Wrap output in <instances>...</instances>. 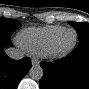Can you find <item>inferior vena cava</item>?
<instances>
[{
    "label": "inferior vena cava",
    "instance_id": "inferior-vena-cava-1",
    "mask_svg": "<svg viewBox=\"0 0 89 89\" xmlns=\"http://www.w3.org/2000/svg\"><path fill=\"white\" fill-rule=\"evenodd\" d=\"M6 54L15 60L22 59L24 57L23 51L17 49V48H8L6 50Z\"/></svg>",
    "mask_w": 89,
    "mask_h": 89
}]
</instances>
